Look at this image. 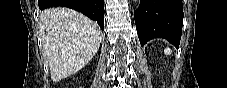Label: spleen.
<instances>
[{
    "label": "spleen",
    "mask_w": 227,
    "mask_h": 88,
    "mask_svg": "<svg viewBox=\"0 0 227 88\" xmlns=\"http://www.w3.org/2000/svg\"><path fill=\"white\" fill-rule=\"evenodd\" d=\"M164 53L166 55H170V54H172V50L170 48H165Z\"/></svg>",
    "instance_id": "spleen-1"
}]
</instances>
